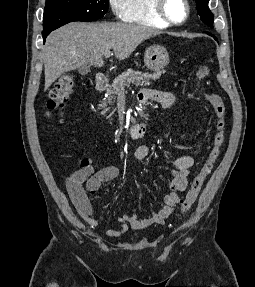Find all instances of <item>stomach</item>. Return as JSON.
I'll return each mask as SVG.
<instances>
[{
    "label": "stomach",
    "instance_id": "1",
    "mask_svg": "<svg viewBox=\"0 0 255 287\" xmlns=\"http://www.w3.org/2000/svg\"><path fill=\"white\" fill-rule=\"evenodd\" d=\"M144 64L148 70H153V72L163 70L164 66L169 64V54L166 48L159 46V44H153V46L146 48L144 52Z\"/></svg>",
    "mask_w": 255,
    "mask_h": 287
}]
</instances>
